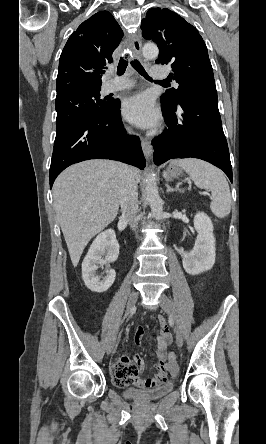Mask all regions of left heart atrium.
<instances>
[{"label": "left heart atrium", "mask_w": 266, "mask_h": 444, "mask_svg": "<svg viewBox=\"0 0 266 444\" xmlns=\"http://www.w3.org/2000/svg\"><path fill=\"white\" fill-rule=\"evenodd\" d=\"M122 112L128 121L141 128L153 127L159 120L151 97L144 93L127 98L123 103Z\"/></svg>", "instance_id": "1"}]
</instances>
